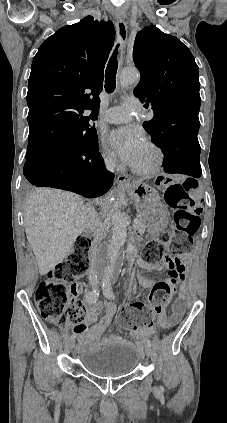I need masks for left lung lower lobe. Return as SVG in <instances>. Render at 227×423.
Wrapping results in <instances>:
<instances>
[{
	"label": "left lung lower lobe",
	"instance_id": "0a47b994",
	"mask_svg": "<svg viewBox=\"0 0 227 423\" xmlns=\"http://www.w3.org/2000/svg\"><path fill=\"white\" fill-rule=\"evenodd\" d=\"M199 125L187 123L153 140L164 152L166 173H181L195 178L201 176L200 145L197 139Z\"/></svg>",
	"mask_w": 227,
	"mask_h": 423
}]
</instances>
